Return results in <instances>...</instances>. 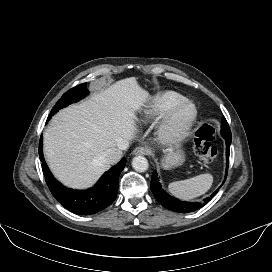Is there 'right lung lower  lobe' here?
Wrapping results in <instances>:
<instances>
[{"label":"right lung lower lobe","mask_w":272,"mask_h":272,"mask_svg":"<svg viewBox=\"0 0 272 272\" xmlns=\"http://www.w3.org/2000/svg\"><path fill=\"white\" fill-rule=\"evenodd\" d=\"M38 151L49 190L69 211L78 215L95 214L107 208L116 199L119 175L126 164L125 158L109 169L94 187L80 191L66 188L53 177L43 156L42 136Z\"/></svg>","instance_id":"1"}]
</instances>
